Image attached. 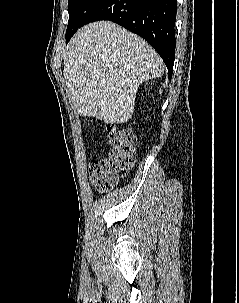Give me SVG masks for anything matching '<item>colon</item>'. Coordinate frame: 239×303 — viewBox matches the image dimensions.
<instances>
[{"label":"colon","instance_id":"obj_1","mask_svg":"<svg viewBox=\"0 0 239 303\" xmlns=\"http://www.w3.org/2000/svg\"><path fill=\"white\" fill-rule=\"evenodd\" d=\"M135 142V136L129 129L111 127L108 156L93 161L89 168L97 191H110L119 178L128 174L134 163Z\"/></svg>","mask_w":239,"mask_h":303}]
</instances>
